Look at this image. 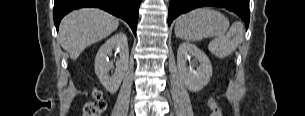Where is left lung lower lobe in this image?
I'll return each mask as SVG.
<instances>
[{
	"mask_svg": "<svg viewBox=\"0 0 305 116\" xmlns=\"http://www.w3.org/2000/svg\"><path fill=\"white\" fill-rule=\"evenodd\" d=\"M202 6H218L227 8L239 15L249 24V0H170L168 25L180 14Z\"/></svg>",
	"mask_w": 305,
	"mask_h": 116,
	"instance_id": "obj_1",
	"label": "left lung lower lobe"
}]
</instances>
